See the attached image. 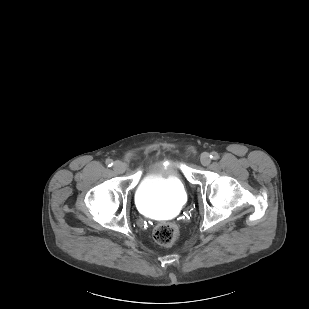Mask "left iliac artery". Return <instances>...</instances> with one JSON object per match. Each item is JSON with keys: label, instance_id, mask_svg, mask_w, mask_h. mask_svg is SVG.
<instances>
[{"label": "left iliac artery", "instance_id": "left-iliac-artery-1", "mask_svg": "<svg viewBox=\"0 0 309 309\" xmlns=\"http://www.w3.org/2000/svg\"><path fill=\"white\" fill-rule=\"evenodd\" d=\"M210 158L213 160H217L219 158V155L217 152H212L210 155Z\"/></svg>", "mask_w": 309, "mask_h": 309}]
</instances>
